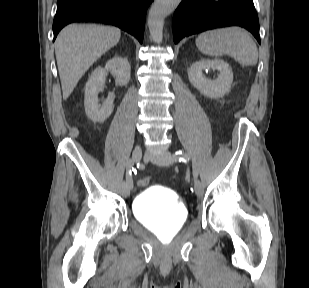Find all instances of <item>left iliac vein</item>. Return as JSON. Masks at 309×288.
Returning <instances> with one entry per match:
<instances>
[{
	"label": "left iliac vein",
	"mask_w": 309,
	"mask_h": 288,
	"mask_svg": "<svg viewBox=\"0 0 309 288\" xmlns=\"http://www.w3.org/2000/svg\"><path fill=\"white\" fill-rule=\"evenodd\" d=\"M147 157L158 165L169 166L173 162V156L170 152H162L161 154L152 155L148 154ZM194 190L197 197H201L204 193V188L202 183L199 180H195L194 182Z\"/></svg>",
	"instance_id": "1"
}]
</instances>
